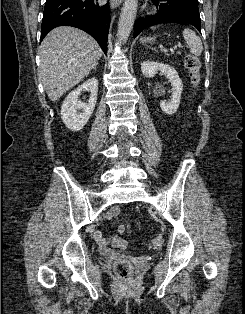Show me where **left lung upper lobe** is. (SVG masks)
Here are the masks:
<instances>
[{
    "label": "left lung upper lobe",
    "mask_w": 245,
    "mask_h": 314,
    "mask_svg": "<svg viewBox=\"0 0 245 314\" xmlns=\"http://www.w3.org/2000/svg\"><path fill=\"white\" fill-rule=\"evenodd\" d=\"M170 1V8L175 9L179 7H188L193 10H198V0H168Z\"/></svg>",
    "instance_id": "obj_1"
}]
</instances>
